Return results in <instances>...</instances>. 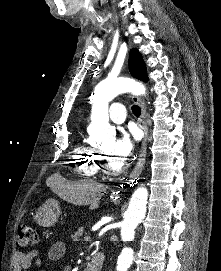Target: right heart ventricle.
Instances as JSON below:
<instances>
[{"instance_id": "1", "label": "right heart ventricle", "mask_w": 221, "mask_h": 271, "mask_svg": "<svg viewBox=\"0 0 221 271\" xmlns=\"http://www.w3.org/2000/svg\"><path fill=\"white\" fill-rule=\"evenodd\" d=\"M80 158H72L73 164H82V166H77L79 176H96V172H98V165L94 164V161H90V158H83L84 156L81 154Z\"/></svg>"}]
</instances>
